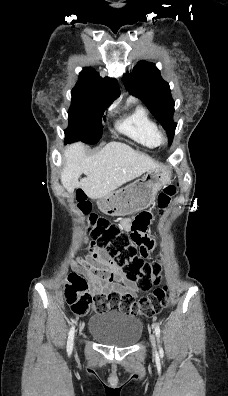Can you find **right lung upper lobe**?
Returning a JSON list of instances; mask_svg holds the SVG:
<instances>
[{
  "instance_id": "cb5924a9",
  "label": "right lung upper lobe",
  "mask_w": 228,
  "mask_h": 396,
  "mask_svg": "<svg viewBox=\"0 0 228 396\" xmlns=\"http://www.w3.org/2000/svg\"><path fill=\"white\" fill-rule=\"evenodd\" d=\"M72 91L97 96L108 104L120 95L119 85L115 79L109 77L101 78L91 68H84L80 72L79 80Z\"/></svg>"
}]
</instances>
